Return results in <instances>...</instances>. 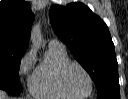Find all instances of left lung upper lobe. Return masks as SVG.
I'll return each mask as SVG.
<instances>
[{
  "instance_id": "1",
  "label": "left lung upper lobe",
  "mask_w": 128,
  "mask_h": 99,
  "mask_svg": "<svg viewBox=\"0 0 128 99\" xmlns=\"http://www.w3.org/2000/svg\"><path fill=\"white\" fill-rule=\"evenodd\" d=\"M50 21L56 35L92 77L98 95L119 86L118 63L107 25L82 3L53 5Z\"/></svg>"
}]
</instances>
